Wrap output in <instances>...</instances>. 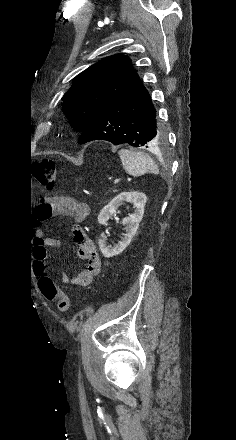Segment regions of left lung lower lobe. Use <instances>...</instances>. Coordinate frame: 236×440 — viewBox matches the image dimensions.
<instances>
[{
  "label": "left lung lower lobe",
  "mask_w": 236,
  "mask_h": 440,
  "mask_svg": "<svg viewBox=\"0 0 236 440\" xmlns=\"http://www.w3.org/2000/svg\"><path fill=\"white\" fill-rule=\"evenodd\" d=\"M164 139L151 97L138 79L82 131L79 144L106 140L115 145L151 148L159 146Z\"/></svg>",
  "instance_id": "left-lung-lower-lobe-1"
}]
</instances>
